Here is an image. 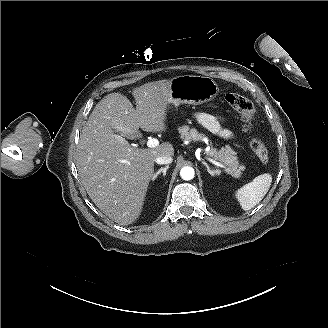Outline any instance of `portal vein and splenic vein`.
Returning a JSON list of instances; mask_svg holds the SVG:
<instances>
[{
  "label": "portal vein and splenic vein",
  "instance_id": "18ae733b",
  "mask_svg": "<svg viewBox=\"0 0 328 328\" xmlns=\"http://www.w3.org/2000/svg\"><path fill=\"white\" fill-rule=\"evenodd\" d=\"M158 145H159V141L156 138H149L148 141H147V146L150 147V148H154ZM206 159L209 160L210 162H212L216 166L223 167V165L220 162H217V161L213 160L209 156H206Z\"/></svg>",
  "mask_w": 328,
  "mask_h": 328
}]
</instances>
